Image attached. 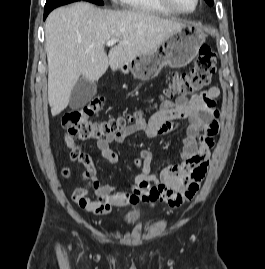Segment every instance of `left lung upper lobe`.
Here are the masks:
<instances>
[{
    "label": "left lung upper lobe",
    "mask_w": 265,
    "mask_h": 269,
    "mask_svg": "<svg viewBox=\"0 0 265 269\" xmlns=\"http://www.w3.org/2000/svg\"><path fill=\"white\" fill-rule=\"evenodd\" d=\"M209 6H212L214 4L213 0H205Z\"/></svg>",
    "instance_id": "left-lung-upper-lobe-1"
}]
</instances>
